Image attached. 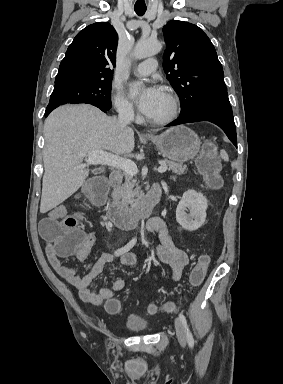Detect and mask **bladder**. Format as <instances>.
I'll use <instances>...</instances> for the list:
<instances>
[{"mask_svg":"<svg viewBox=\"0 0 283 384\" xmlns=\"http://www.w3.org/2000/svg\"><path fill=\"white\" fill-rule=\"evenodd\" d=\"M123 327L130 329L134 334H140L150 331L151 324L139 313L132 311L124 319Z\"/></svg>","mask_w":283,"mask_h":384,"instance_id":"bladder-1","label":"bladder"}]
</instances>
